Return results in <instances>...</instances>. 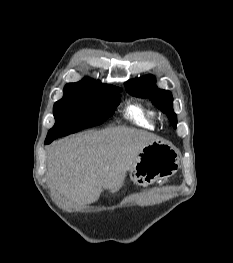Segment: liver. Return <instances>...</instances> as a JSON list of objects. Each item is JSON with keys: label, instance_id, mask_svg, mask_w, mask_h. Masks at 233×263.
Masks as SVG:
<instances>
[{"label": "liver", "instance_id": "liver-1", "mask_svg": "<svg viewBox=\"0 0 233 263\" xmlns=\"http://www.w3.org/2000/svg\"><path fill=\"white\" fill-rule=\"evenodd\" d=\"M156 140L146 131L112 127L56 141L48 148L49 181L70 203H94L102 188L113 191L124 182L139 152Z\"/></svg>", "mask_w": 233, "mask_h": 263}]
</instances>
